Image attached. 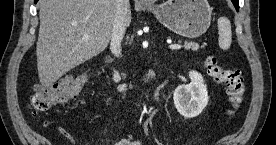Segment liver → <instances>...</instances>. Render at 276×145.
I'll return each mask as SVG.
<instances>
[{"label": "liver", "instance_id": "1", "mask_svg": "<svg viewBox=\"0 0 276 145\" xmlns=\"http://www.w3.org/2000/svg\"><path fill=\"white\" fill-rule=\"evenodd\" d=\"M36 47L41 84L51 86L68 71L108 46L116 13L115 0H41ZM131 23L130 4L123 10ZM88 35L87 40L83 39Z\"/></svg>", "mask_w": 276, "mask_h": 145}]
</instances>
